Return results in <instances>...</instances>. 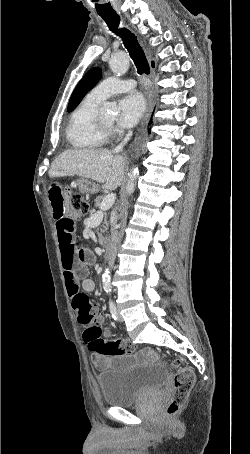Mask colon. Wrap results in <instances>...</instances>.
Masks as SVG:
<instances>
[{
  "label": "colon",
  "mask_w": 250,
  "mask_h": 454,
  "mask_svg": "<svg viewBox=\"0 0 250 454\" xmlns=\"http://www.w3.org/2000/svg\"><path fill=\"white\" fill-rule=\"evenodd\" d=\"M88 211V201L80 193H74L71 197L70 219L78 222ZM100 321L101 318L92 315L81 321L86 327L83 338L90 351L104 356H122L135 351V346L127 340H108ZM171 365L174 369V391L166 407L168 416L177 414L185 405L195 383V374L191 368L181 365L178 360H173Z\"/></svg>",
  "instance_id": "5ec220e1"
}]
</instances>
